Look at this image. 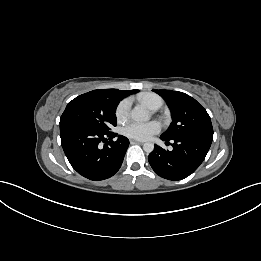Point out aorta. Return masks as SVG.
<instances>
[{"instance_id":"obj_1","label":"aorta","mask_w":261,"mask_h":261,"mask_svg":"<svg viewBox=\"0 0 261 261\" xmlns=\"http://www.w3.org/2000/svg\"><path fill=\"white\" fill-rule=\"evenodd\" d=\"M130 117L134 121L142 122L149 120L150 114L145 108L136 106L131 110ZM143 150L147 153H151L154 150V144L151 142L144 143Z\"/></svg>"}]
</instances>
